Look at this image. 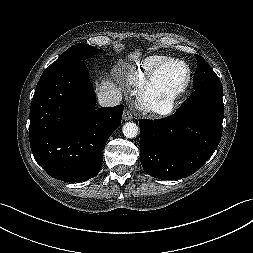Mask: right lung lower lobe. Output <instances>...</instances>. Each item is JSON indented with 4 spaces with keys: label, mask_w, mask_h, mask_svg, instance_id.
<instances>
[{
    "label": "right lung lower lobe",
    "mask_w": 253,
    "mask_h": 253,
    "mask_svg": "<svg viewBox=\"0 0 253 253\" xmlns=\"http://www.w3.org/2000/svg\"><path fill=\"white\" fill-rule=\"evenodd\" d=\"M95 105L81 60L42 74L31 103L29 140L35 160L51 177L81 182L99 173L124 106Z\"/></svg>",
    "instance_id": "obj_1"
}]
</instances>
